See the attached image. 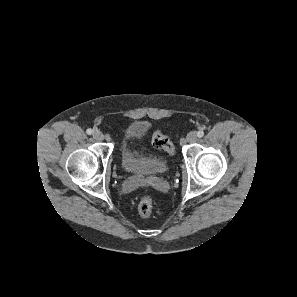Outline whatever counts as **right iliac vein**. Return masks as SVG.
Listing matches in <instances>:
<instances>
[{
	"mask_svg": "<svg viewBox=\"0 0 297 297\" xmlns=\"http://www.w3.org/2000/svg\"><path fill=\"white\" fill-rule=\"evenodd\" d=\"M93 137L97 140V141H102L104 139V135L102 132L100 131H95L93 133Z\"/></svg>",
	"mask_w": 297,
	"mask_h": 297,
	"instance_id": "63e3f726",
	"label": "right iliac vein"
}]
</instances>
